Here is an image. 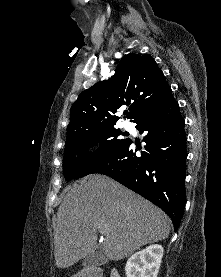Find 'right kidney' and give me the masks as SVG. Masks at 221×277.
<instances>
[{"instance_id": "obj_1", "label": "right kidney", "mask_w": 221, "mask_h": 277, "mask_svg": "<svg viewBox=\"0 0 221 277\" xmlns=\"http://www.w3.org/2000/svg\"><path fill=\"white\" fill-rule=\"evenodd\" d=\"M163 247L153 244L133 254L126 263V277H157L163 257Z\"/></svg>"}]
</instances>
